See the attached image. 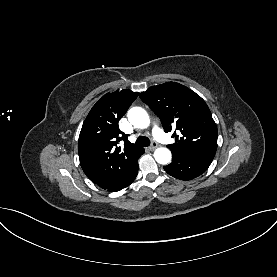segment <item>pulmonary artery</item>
Segmentation results:
<instances>
[{
  "label": "pulmonary artery",
  "instance_id": "e3ab8cb5",
  "mask_svg": "<svg viewBox=\"0 0 277 277\" xmlns=\"http://www.w3.org/2000/svg\"><path fill=\"white\" fill-rule=\"evenodd\" d=\"M152 133L157 140L164 143L168 142L167 135L161 130V128L156 123H154L152 126Z\"/></svg>",
  "mask_w": 277,
  "mask_h": 277
}]
</instances>
